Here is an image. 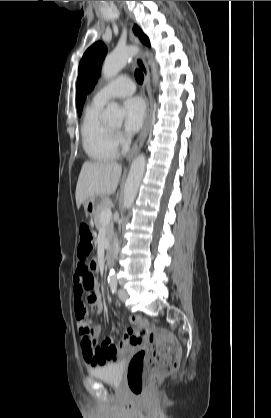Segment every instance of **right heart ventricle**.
<instances>
[{
    "label": "right heart ventricle",
    "instance_id": "right-heart-ventricle-1",
    "mask_svg": "<svg viewBox=\"0 0 271 418\" xmlns=\"http://www.w3.org/2000/svg\"><path fill=\"white\" fill-rule=\"evenodd\" d=\"M103 107L104 104L92 102L81 125L83 149L96 162L112 161L118 156L115 134L101 119Z\"/></svg>",
    "mask_w": 271,
    "mask_h": 418
}]
</instances>
